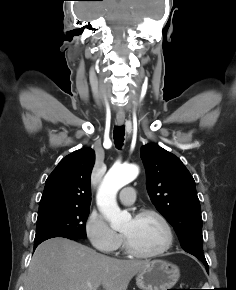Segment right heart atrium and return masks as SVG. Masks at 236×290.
I'll use <instances>...</instances> for the list:
<instances>
[{"label":"right heart atrium","mask_w":236,"mask_h":290,"mask_svg":"<svg viewBox=\"0 0 236 290\" xmlns=\"http://www.w3.org/2000/svg\"><path fill=\"white\" fill-rule=\"evenodd\" d=\"M84 229L91 245L100 252L114 253L122 244V236L115 232L105 218L96 211L90 212L85 221Z\"/></svg>","instance_id":"1"}]
</instances>
